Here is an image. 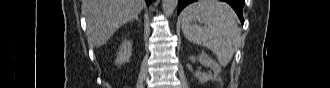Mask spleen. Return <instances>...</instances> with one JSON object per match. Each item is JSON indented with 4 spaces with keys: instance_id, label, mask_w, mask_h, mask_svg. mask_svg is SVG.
Wrapping results in <instances>:
<instances>
[{
    "instance_id": "spleen-1",
    "label": "spleen",
    "mask_w": 330,
    "mask_h": 88,
    "mask_svg": "<svg viewBox=\"0 0 330 88\" xmlns=\"http://www.w3.org/2000/svg\"><path fill=\"white\" fill-rule=\"evenodd\" d=\"M198 21L204 26L192 24ZM182 31L193 44L207 47L222 66L233 57L240 39V30L233 9L218 0H199L188 5L181 14Z\"/></svg>"
}]
</instances>
